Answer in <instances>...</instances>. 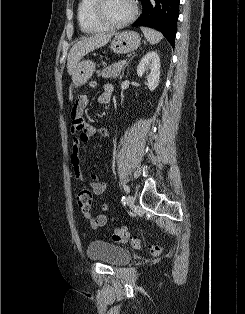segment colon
Returning <instances> with one entry per match:
<instances>
[{"instance_id": "1", "label": "colon", "mask_w": 245, "mask_h": 314, "mask_svg": "<svg viewBox=\"0 0 245 314\" xmlns=\"http://www.w3.org/2000/svg\"><path fill=\"white\" fill-rule=\"evenodd\" d=\"M76 202L80 211L88 213L92 204V194L88 189H81L76 196ZM113 240L116 242H129L132 247L139 249L143 246L142 241L136 236H130L126 229L122 227H115L113 231ZM150 253L153 256H158L161 253V247L159 245L149 246Z\"/></svg>"}]
</instances>
